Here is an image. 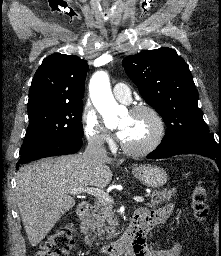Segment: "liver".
<instances>
[{"mask_svg":"<svg viewBox=\"0 0 221 256\" xmlns=\"http://www.w3.org/2000/svg\"><path fill=\"white\" fill-rule=\"evenodd\" d=\"M111 163L110 158L95 163L80 153L42 159L19 169L15 200L32 246H37L75 205L71 190L104 188L110 183Z\"/></svg>","mask_w":221,"mask_h":256,"instance_id":"1","label":"liver"}]
</instances>
